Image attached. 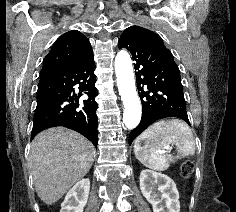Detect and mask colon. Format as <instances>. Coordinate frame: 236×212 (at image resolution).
I'll return each instance as SVG.
<instances>
[{"mask_svg":"<svg viewBox=\"0 0 236 212\" xmlns=\"http://www.w3.org/2000/svg\"><path fill=\"white\" fill-rule=\"evenodd\" d=\"M193 163L191 161H185L181 166V175L183 177H189L193 173Z\"/></svg>","mask_w":236,"mask_h":212,"instance_id":"obj_1","label":"colon"}]
</instances>
